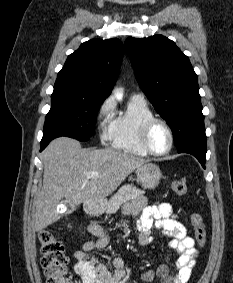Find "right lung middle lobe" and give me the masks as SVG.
Masks as SVG:
<instances>
[{"label": "right lung middle lobe", "instance_id": "obj_1", "mask_svg": "<svg viewBox=\"0 0 233 283\" xmlns=\"http://www.w3.org/2000/svg\"><path fill=\"white\" fill-rule=\"evenodd\" d=\"M101 103L69 90L54 89L51 109L45 118L42 142H50L59 136L89 140L95 133L96 115Z\"/></svg>", "mask_w": 233, "mask_h": 283}]
</instances>
